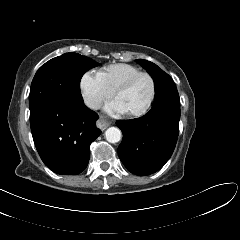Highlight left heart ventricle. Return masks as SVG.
<instances>
[{"mask_svg":"<svg viewBox=\"0 0 240 240\" xmlns=\"http://www.w3.org/2000/svg\"><path fill=\"white\" fill-rule=\"evenodd\" d=\"M152 93V84L148 77H140L130 88L123 91L117 98L123 101L130 111L142 109L149 101Z\"/></svg>","mask_w":240,"mask_h":240,"instance_id":"1","label":"left heart ventricle"}]
</instances>
